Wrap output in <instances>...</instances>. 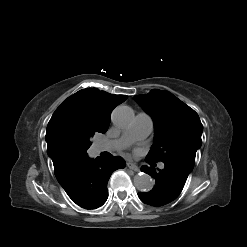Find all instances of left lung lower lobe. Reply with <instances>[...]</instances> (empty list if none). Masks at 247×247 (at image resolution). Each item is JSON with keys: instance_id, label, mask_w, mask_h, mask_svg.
Returning <instances> with one entry per match:
<instances>
[{"instance_id": "obj_1", "label": "left lung lower lobe", "mask_w": 247, "mask_h": 247, "mask_svg": "<svg viewBox=\"0 0 247 247\" xmlns=\"http://www.w3.org/2000/svg\"><path fill=\"white\" fill-rule=\"evenodd\" d=\"M151 165L152 167L145 166L141 170L155 178L156 185L147 193L139 192L138 196L146 204L162 206L178 197L189 173L170 163H164V169L159 171L155 170L153 164Z\"/></svg>"}]
</instances>
